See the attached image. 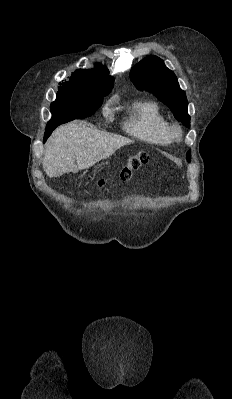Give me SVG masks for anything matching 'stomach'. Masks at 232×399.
I'll return each instance as SVG.
<instances>
[{
  "label": "stomach",
  "instance_id": "stomach-1",
  "mask_svg": "<svg viewBox=\"0 0 232 399\" xmlns=\"http://www.w3.org/2000/svg\"><path fill=\"white\" fill-rule=\"evenodd\" d=\"M104 164H98V166H95L93 170V174H97V172H100V170H103Z\"/></svg>",
  "mask_w": 232,
  "mask_h": 399
}]
</instances>
